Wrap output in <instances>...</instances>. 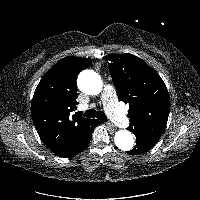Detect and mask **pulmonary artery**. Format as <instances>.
I'll return each instance as SVG.
<instances>
[{"instance_id": "obj_1", "label": "pulmonary artery", "mask_w": 200, "mask_h": 200, "mask_svg": "<svg viewBox=\"0 0 200 200\" xmlns=\"http://www.w3.org/2000/svg\"><path fill=\"white\" fill-rule=\"evenodd\" d=\"M100 100L104 104L110 118L119 126L125 127L129 125L128 117L123 113L118 105V99L113 87L106 85L100 96Z\"/></svg>"}]
</instances>
